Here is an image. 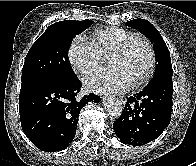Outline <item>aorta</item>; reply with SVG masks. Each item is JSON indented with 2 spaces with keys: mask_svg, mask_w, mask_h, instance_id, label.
Listing matches in <instances>:
<instances>
[{
  "mask_svg": "<svg viewBox=\"0 0 196 166\" xmlns=\"http://www.w3.org/2000/svg\"><path fill=\"white\" fill-rule=\"evenodd\" d=\"M104 108L114 118L120 117L123 111L122 103L114 97H108L104 101Z\"/></svg>",
  "mask_w": 196,
  "mask_h": 166,
  "instance_id": "aorta-1",
  "label": "aorta"
}]
</instances>
